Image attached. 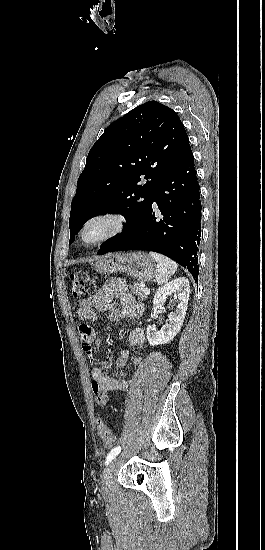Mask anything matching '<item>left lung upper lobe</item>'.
<instances>
[{"instance_id":"5c2ea615","label":"left lung upper lobe","mask_w":265,"mask_h":550,"mask_svg":"<svg viewBox=\"0 0 265 550\" xmlns=\"http://www.w3.org/2000/svg\"><path fill=\"white\" fill-rule=\"evenodd\" d=\"M188 146L176 112L157 101L113 122L91 148L78 178L69 243L86 221L108 212L123 215L127 226L106 244L121 239L144 216L165 175Z\"/></svg>"}]
</instances>
